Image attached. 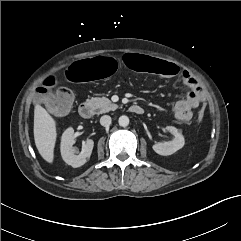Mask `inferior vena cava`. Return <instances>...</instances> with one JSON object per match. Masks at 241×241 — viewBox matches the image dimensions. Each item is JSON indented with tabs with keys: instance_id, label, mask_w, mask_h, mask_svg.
Wrapping results in <instances>:
<instances>
[{
	"instance_id": "obj_1",
	"label": "inferior vena cava",
	"mask_w": 241,
	"mask_h": 241,
	"mask_svg": "<svg viewBox=\"0 0 241 241\" xmlns=\"http://www.w3.org/2000/svg\"><path fill=\"white\" fill-rule=\"evenodd\" d=\"M100 124L102 126H109L111 124V117L108 115H104L100 118Z\"/></svg>"
}]
</instances>
